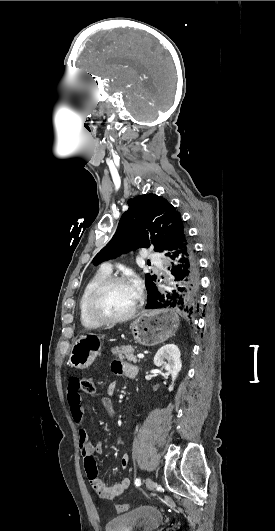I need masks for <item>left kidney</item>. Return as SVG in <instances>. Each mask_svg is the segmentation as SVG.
<instances>
[{
	"instance_id": "obj_1",
	"label": "left kidney",
	"mask_w": 275,
	"mask_h": 531,
	"mask_svg": "<svg viewBox=\"0 0 275 531\" xmlns=\"http://www.w3.org/2000/svg\"><path fill=\"white\" fill-rule=\"evenodd\" d=\"M164 359H167L168 363H164ZM154 365H156V367H162V365H165V371L171 373L172 383L168 391H173L174 381L182 367L178 347H176V345H164V347H161L154 357Z\"/></svg>"
}]
</instances>
